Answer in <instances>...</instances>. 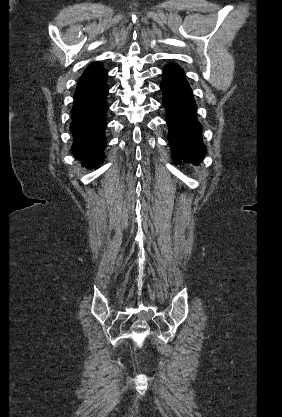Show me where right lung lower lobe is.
<instances>
[{
  "instance_id": "1",
  "label": "right lung lower lobe",
  "mask_w": 282,
  "mask_h": 417,
  "mask_svg": "<svg viewBox=\"0 0 282 417\" xmlns=\"http://www.w3.org/2000/svg\"><path fill=\"white\" fill-rule=\"evenodd\" d=\"M107 72L98 63L87 67L74 93L72 123L74 137L72 151L83 166L99 168L104 162L106 138Z\"/></svg>"
}]
</instances>
